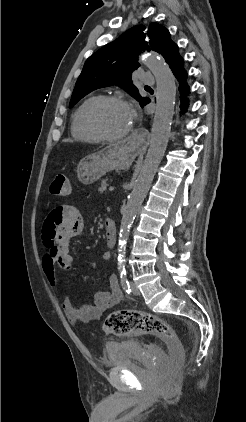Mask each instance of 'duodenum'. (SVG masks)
Wrapping results in <instances>:
<instances>
[{
    "label": "duodenum",
    "instance_id": "obj_1",
    "mask_svg": "<svg viewBox=\"0 0 246 422\" xmlns=\"http://www.w3.org/2000/svg\"><path fill=\"white\" fill-rule=\"evenodd\" d=\"M105 240L109 248H113L116 245V227L110 219L105 221Z\"/></svg>",
    "mask_w": 246,
    "mask_h": 422
}]
</instances>
